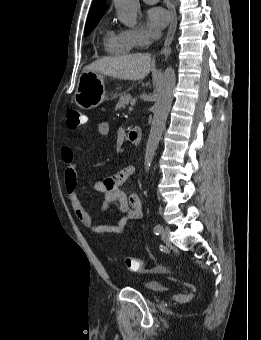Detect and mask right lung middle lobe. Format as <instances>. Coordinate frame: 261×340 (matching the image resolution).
<instances>
[{"mask_svg":"<svg viewBox=\"0 0 261 340\" xmlns=\"http://www.w3.org/2000/svg\"><path fill=\"white\" fill-rule=\"evenodd\" d=\"M99 20H95L93 22L87 23L85 26V36L89 35L90 32L96 27Z\"/></svg>","mask_w":261,"mask_h":340,"instance_id":"1","label":"right lung middle lobe"}]
</instances>
